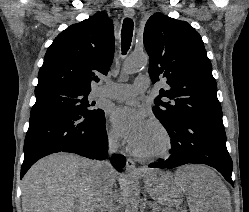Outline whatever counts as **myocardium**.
I'll list each match as a JSON object with an SVG mask.
<instances>
[{
    "mask_svg": "<svg viewBox=\"0 0 249 212\" xmlns=\"http://www.w3.org/2000/svg\"><path fill=\"white\" fill-rule=\"evenodd\" d=\"M149 124L155 126L163 140H164V145L162 147L161 150L152 153V154H142V153H135V156L140 159V160H145V161H151V160H159V159H164L170 156L172 150H173V146H174V140L173 137L170 133V131L168 130V128L158 119L156 118H151L148 121Z\"/></svg>",
    "mask_w": 249,
    "mask_h": 212,
    "instance_id": "myocardium-1",
    "label": "myocardium"
}]
</instances>
